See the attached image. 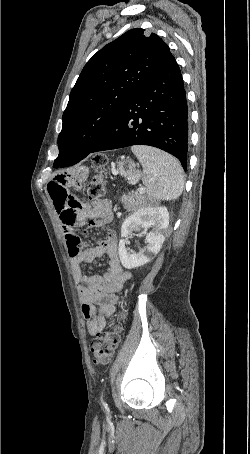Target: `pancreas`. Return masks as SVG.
I'll return each instance as SVG.
<instances>
[{"instance_id": "cf45deb5", "label": "pancreas", "mask_w": 250, "mask_h": 454, "mask_svg": "<svg viewBox=\"0 0 250 454\" xmlns=\"http://www.w3.org/2000/svg\"><path fill=\"white\" fill-rule=\"evenodd\" d=\"M126 207L128 209L134 208V206L138 205L143 201V196L141 194H137L134 197L124 199Z\"/></svg>"}]
</instances>
